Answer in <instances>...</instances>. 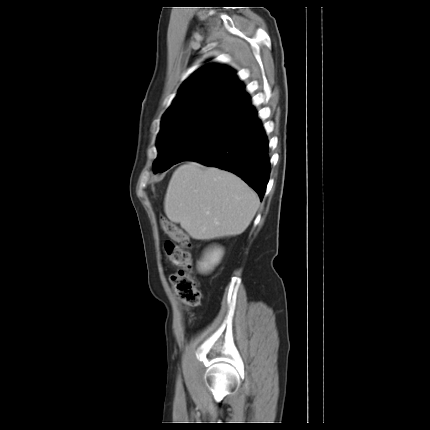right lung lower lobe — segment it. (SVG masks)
I'll use <instances>...</instances> for the list:
<instances>
[{
    "mask_svg": "<svg viewBox=\"0 0 430 430\" xmlns=\"http://www.w3.org/2000/svg\"><path fill=\"white\" fill-rule=\"evenodd\" d=\"M186 160L230 171L252 187L261 200L264 196L271 169L268 140L254 108Z\"/></svg>",
    "mask_w": 430,
    "mask_h": 430,
    "instance_id": "1",
    "label": "right lung lower lobe"
}]
</instances>
